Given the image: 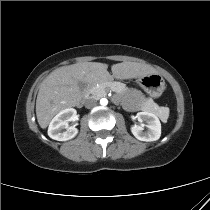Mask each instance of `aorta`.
I'll return each instance as SVG.
<instances>
[{
	"label": "aorta",
	"mask_w": 210,
	"mask_h": 210,
	"mask_svg": "<svg viewBox=\"0 0 210 210\" xmlns=\"http://www.w3.org/2000/svg\"><path fill=\"white\" fill-rule=\"evenodd\" d=\"M100 103H101V105H107L108 104V100L107 99H105V98H102L101 100H100Z\"/></svg>",
	"instance_id": "1"
}]
</instances>
